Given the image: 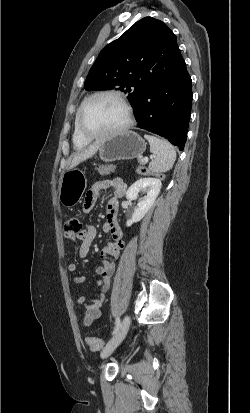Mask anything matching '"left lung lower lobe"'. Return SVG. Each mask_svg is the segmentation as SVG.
<instances>
[{
    "mask_svg": "<svg viewBox=\"0 0 250 413\" xmlns=\"http://www.w3.org/2000/svg\"><path fill=\"white\" fill-rule=\"evenodd\" d=\"M192 96L191 77L175 40L164 68L143 84L133 104L137 127L158 134L183 150Z\"/></svg>",
    "mask_w": 250,
    "mask_h": 413,
    "instance_id": "1",
    "label": "left lung lower lobe"
}]
</instances>
